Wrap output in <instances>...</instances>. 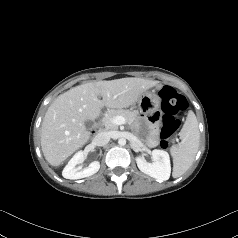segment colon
Wrapping results in <instances>:
<instances>
[{
  "mask_svg": "<svg viewBox=\"0 0 238 238\" xmlns=\"http://www.w3.org/2000/svg\"><path fill=\"white\" fill-rule=\"evenodd\" d=\"M163 120L161 122V147L167 148L169 138L180 126L179 116L187 109L186 98L173 87L164 86L159 92Z\"/></svg>",
  "mask_w": 238,
  "mask_h": 238,
  "instance_id": "obj_1",
  "label": "colon"
}]
</instances>
